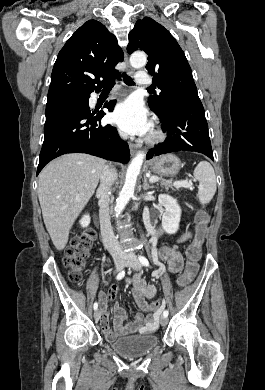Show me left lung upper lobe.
<instances>
[{"mask_svg":"<svg viewBox=\"0 0 265 390\" xmlns=\"http://www.w3.org/2000/svg\"><path fill=\"white\" fill-rule=\"evenodd\" d=\"M143 50L148 54L146 69L161 90L150 96L149 107L160 116L166 114L170 101L198 97L192 71L175 38L149 17L138 20L129 33L127 52Z\"/></svg>","mask_w":265,"mask_h":390,"instance_id":"left-lung-upper-lobe-1","label":"left lung upper lobe"}]
</instances>
